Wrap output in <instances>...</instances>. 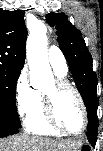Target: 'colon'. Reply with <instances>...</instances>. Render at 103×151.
Here are the masks:
<instances>
[{
	"mask_svg": "<svg viewBox=\"0 0 103 151\" xmlns=\"http://www.w3.org/2000/svg\"><path fill=\"white\" fill-rule=\"evenodd\" d=\"M82 151H90L88 147H84Z\"/></svg>",
	"mask_w": 103,
	"mask_h": 151,
	"instance_id": "colon-1",
	"label": "colon"
}]
</instances>
